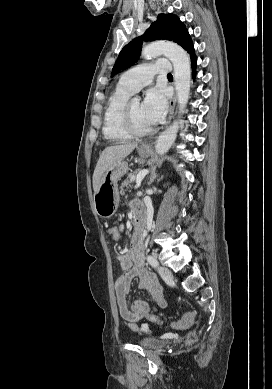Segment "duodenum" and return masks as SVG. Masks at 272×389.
<instances>
[{
    "label": "duodenum",
    "mask_w": 272,
    "mask_h": 389,
    "mask_svg": "<svg viewBox=\"0 0 272 389\" xmlns=\"http://www.w3.org/2000/svg\"><path fill=\"white\" fill-rule=\"evenodd\" d=\"M134 222L137 228L138 234L142 233L146 226V215L140 212L134 213Z\"/></svg>",
    "instance_id": "1"
}]
</instances>
